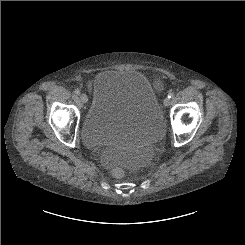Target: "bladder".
<instances>
[{
  "label": "bladder",
  "instance_id": "bladder-1",
  "mask_svg": "<svg viewBox=\"0 0 245 245\" xmlns=\"http://www.w3.org/2000/svg\"><path fill=\"white\" fill-rule=\"evenodd\" d=\"M158 96L148 78L135 70H104L93 84V99L81 125L86 146H136L164 130Z\"/></svg>",
  "mask_w": 245,
  "mask_h": 245
}]
</instances>
